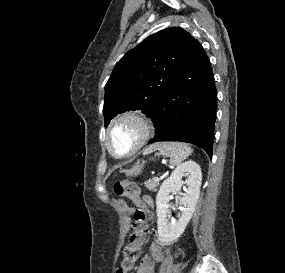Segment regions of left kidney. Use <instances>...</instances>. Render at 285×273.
Here are the masks:
<instances>
[{
	"label": "left kidney",
	"mask_w": 285,
	"mask_h": 273,
	"mask_svg": "<svg viewBox=\"0 0 285 273\" xmlns=\"http://www.w3.org/2000/svg\"><path fill=\"white\" fill-rule=\"evenodd\" d=\"M187 176L185 184L188 190L184 196H178L176 202L182 205L181 215L177 221L169 222L170 194H179L184 182L182 178ZM202 172L200 166L194 161H187L173 171L160 187L156 197L157 224L159 239L163 243L176 241L184 232L189 223L200 194Z\"/></svg>",
	"instance_id": "obj_1"
}]
</instances>
